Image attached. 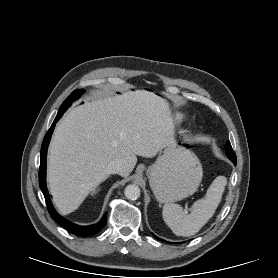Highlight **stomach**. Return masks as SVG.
Here are the masks:
<instances>
[{"instance_id":"0dacf381","label":"stomach","mask_w":278,"mask_h":278,"mask_svg":"<svg viewBox=\"0 0 278 278\" xmlns=\"http://www.w3.org/2000/svg\"><path fill=\"white\" fill-rule=\"evenodd\" d=\"M146 173L160 203L180 201L194 194L203 177L197 156L174 138L163 145L156 162L148 167Z\"/></svg>"}]
</instances>
